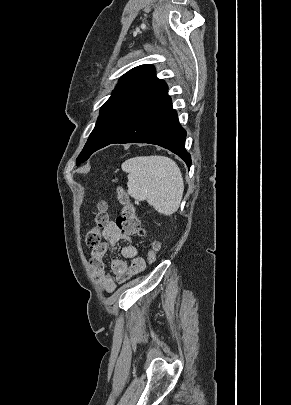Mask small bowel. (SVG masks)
<instances>
[{
	"mask_svg": "<svg viewBox=\"0 0 291 405\" xmlns=\"http://www.w3.org/2000/svg\"><path fill=\"white\" fill-rule=\"evenodd\" d=\"M102 234L104 242L93 248L89 265L92 276L100 288L106 293H112L115 291L117 284H122L142 272L145 268V261L138 255L137 248L132 244H128L121 249L122 259L112 260L110 265L112 274L108 273L104 256L112 251L118 242L122 240L130 241V238L122 233L113 221L105 225ZM126 260H129L130 263L128 264Z\"/></svg>",
	"mask_w": 291,
	"mask_h": 405,
	"instance_id": "small-bowel-1",
	"label": "small bowel"
}]
</instances>
